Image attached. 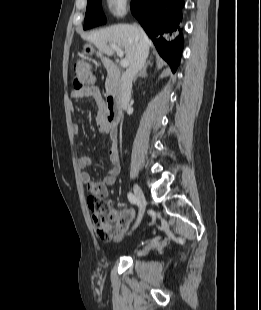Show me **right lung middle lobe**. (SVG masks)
<instances>
[{
	"instance_id": "1",
	"label": "right lung middle lobe",
	"mask_w": 261,
	"mask_h": 310,
	"mask_svg": "<svg viewBox=\"0 0 261 310\" xmlns=\"http://www.w3.org/2000/svg\"><path fill=\"white\" fill-rule=\"evenodd\" d=\"M106 22L102 11L101 0H88L84 29L102 25Z\"/></svg>"
}]
</instances>
